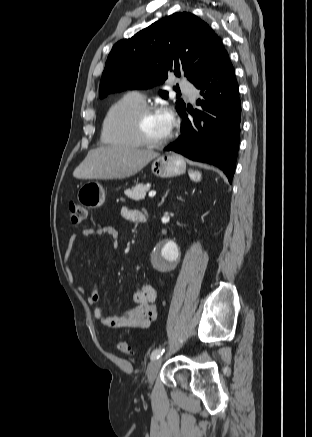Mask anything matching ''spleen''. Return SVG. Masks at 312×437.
<instances>
[{
  "label": "spleen",
  "mask_w": 312,
  "mask_h": 437,
  "mask_svg": "<svg viewBox=\"0 0 312 437\" xmlns=\"http://www.w3.org/2000/svg\"><path fill=\"white\" fill-rule=\"evenodd\" d=\"M189 175L194 181H199L201 179V173L198 171L189 170Z\"/></svg>",
  "instance_id": "3e777b00"
}]
</instances>
